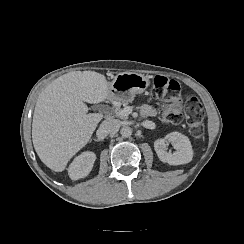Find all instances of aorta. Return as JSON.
Instances as JSON below:
<instances>
[{
    "label": "aorta",
    "mask_w": 244,
    "mask_h": 244,
    "mask_svg": "<svg viewBox=\"0 0 244 244\" xmlns=\"http://www.w3.org/2000/svg\"><path fill=\"white\" fill-rule=\"evenodd\" d=\"M120 132H121V135L126 138H128L132 135V129L129 126L122 127Z\"/></svg>",
    "instance_id": "aorta-1"
}]
</instances>
